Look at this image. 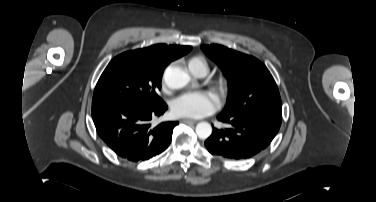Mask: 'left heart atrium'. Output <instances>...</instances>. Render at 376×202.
I'll use <instances>...</instances> for the list:
<instances>
[{"label":"left heart atrium","instance_id":"obj_1","mask_svg":"<svg viewBox=\"0 0 376 202\" xmlns=\"http://www.w3.org/2000/svg\"><path fill=\"white\" fill-rule=\"evenodd\" d=\"M219 107L217 97L209 91L187 92L177 97L171 105L172 113L177 117L201 118Z\"/></svg>","mask_w":376,"mask_h":202}]
</instances>
